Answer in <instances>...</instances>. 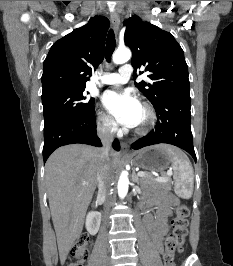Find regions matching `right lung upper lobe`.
I'll return each mask as SVG.
<instances>
[{
    "label": "right lung upper lobe",
    "mask_w": 233,
    "mask_h": 266,
    "mask_svg": "<svg viewBox=\"0 0 233 266\" xmlns=\"http://www.w3.org/2000/svg\"><path fill=\"white\" fill-rule=\"evenodd\" d=\"M108 27L106 17L95 16L52 45L43 65L42 95L86 87L91 66L97 67L104 59Z\"/></svg>",
    "instance_id": "1"
}]
</instances>
